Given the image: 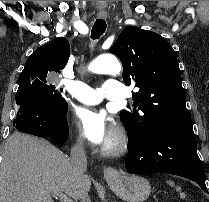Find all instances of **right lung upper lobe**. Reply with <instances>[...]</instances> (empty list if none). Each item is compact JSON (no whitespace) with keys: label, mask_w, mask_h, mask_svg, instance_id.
I'll use <instances>...</instances> for the list:
<instances>
[{"label":"right lung upper lobe","mask_w":209,"mask_h":202,"mask_svg":"<svg viewBox=\"0 0 209 202\" xmlns=\"http://www.w3.org/2000/svg\"><path fill=\"white\" fill-rule=\"evenodd\" d=\"M70 56V45L65 37H58L37 48L27 59L20 75L59 72Z\"/></svg>","instance_id":"cb5924a9"}]
</instances>
